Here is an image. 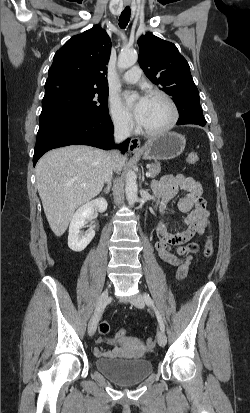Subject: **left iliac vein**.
Wrapping results in <instances>:
<instances>
[{"mask_svg": "<svg viewBox=\"0 0 250 413\" xmlns=\"http://www.w3.org/2000/svg\"><path fill=\"white\" fill-rule=\"evenodd\" d=\"M131 303L137 308H143L145 306L144 296H142V294H137L132 298ZM157 341L161 347H164L166 345L167 338L164 331L161 330L158 332Z\"/></svg>", "mask_w": 250, "mask_h": 413, "instance_id": "1", "label": "left iliac vein"}]
</instances>
